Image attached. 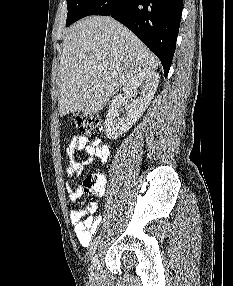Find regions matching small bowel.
<instances>
[{"mask_svg":"<svg viewBox=\"0 0 233 286\" xmlns=\"http://www.w3.org/2000/svg\"><path fill=\"white\" fill-rule=\"evenodd\" d=\"M77 151H83L87 158L77 161L75 159ZM66 158L68 160L66 175L68 177L78 176L82 173L84 166L92 163L95 158H98L102 162L107 161L109 158V149L103 144L92 146L88 144L85 136L75 135L66 149ZM66 189L69 199L73 202L77 201L85 193L82 186H75L69 183L66 184ZM103 193L104 188L94 194L102 195ZM96 210L97 203L90 202L85 207L70 212V222L74 226L77 240L83 246L89 245L94 232L101 222V216L94 215Z\"/></svg>","mask_w":233,"mask_h":286,"instance_id":"c3829d8e","label":"small bowel"}]
</instances>
